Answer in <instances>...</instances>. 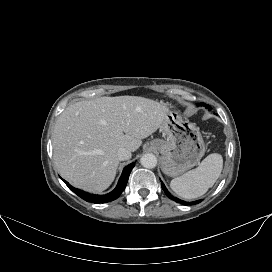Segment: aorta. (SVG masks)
I'll return each mask as SVG.
<instances>
[{
	"label": "aorta",
	"instance_id": "aorta-1",
	"mask_svg": "<svg viewBox=\"0 0 272 272\" xmlns=\"http://www.w3.org/2000/svg\"><path fill=\"white\" fill-rule=\"evenodd\" d=\"M140 163L145 168H154L157 165V158L154 154L147 153L141 157Z\"/></svg>",
	"mask_w": 272,
	"mask_h": 272
}]
</instances>
